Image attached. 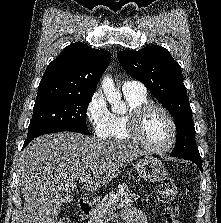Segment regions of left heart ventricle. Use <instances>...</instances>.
I'll list each match as a JSON object with an SVG mask.
<instances>
[{
  "label": "left heart ventricle",
  "mask_w": 221,
  "mask_h": 223,
  "mask_svg": "<svg viewBox=\"0 0 221 223\" xmlns=\"http://www.w3.org/2000/svg\"><path fill=\"white\" fill-rule=\"evenodd\" d=\"M141 138L153 146H163L171 138V125L167 116L160 110L154 109L144 117Z\"/></svg>",
  "instance_id": "b2bd125f"
}]
</instances>
